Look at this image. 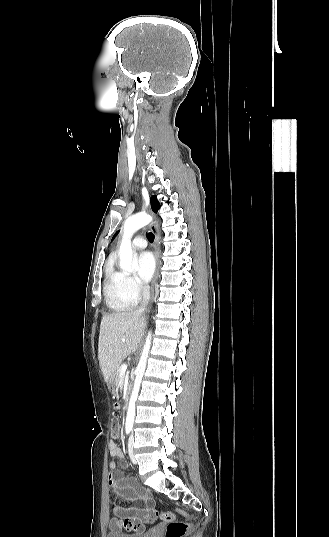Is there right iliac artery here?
I'll return each instance as SVG.
<instances>
[{
	"mask_svg": "<svg viewBox=\"0 0 329 537\" xmlns=\"http://www.w3.org/2000/svg\"><path fill=\"white\" fill-rule=\"evenodd\" d=\"M131 429H126V434L128 435L130 433Z\"/></svg>",
	"mask_w": 329,
	"mask_h": 537,
	"instance_id": "right-iliac-artery-1",
	"label": "right iliac artery"
}]
</instances>
